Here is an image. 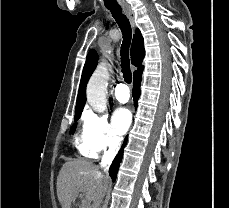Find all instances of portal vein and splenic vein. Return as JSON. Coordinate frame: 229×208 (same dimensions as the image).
Segmentation results:
<instances>
[{"mask_svg": "<svg viewBox=\"0 0 229 208\" xmlns=\"http://www.w3.org/2000/svg\"><path fill=\"white\" fill-rule=\"evenodd\" d=\"M85 208H90V204H88V202H85Z\"/></svg>", "mask_w": 229, "mask_h": 208, "instance_id": "portal-vein-and-splenic-vein-1", "label": "portal vein and splenic vein"}]
</instances>
